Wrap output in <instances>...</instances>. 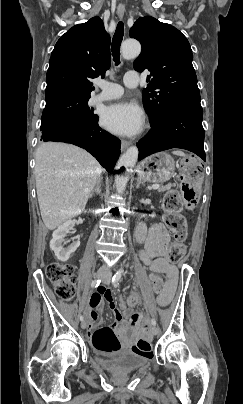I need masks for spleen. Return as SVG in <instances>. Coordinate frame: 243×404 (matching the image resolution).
I'll return each mask as SVG.
<instances>
[{
  "mask_svg": "<svg viewBox=\"0 0 243 404\" xmlns=\"http://www.w3.org/2000/svg\"><path fill=\"white\" fill-rule=\"evenodd\" d=\"M173 154H175V156H185L184 152H179V150H177V152H173Z\"/></svg>",
  "mask_w": 243,
  "mask_h": 404,
  "instance_id": "1",
  "label": "spleen"
}]
</instances>
